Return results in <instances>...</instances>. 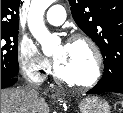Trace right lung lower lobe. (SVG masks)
<instances>
[{"label": "right lung lower lobe", "instance_id": "1", "mask_svg": "<svg viewBox=\"0 0 123 113\" xmlns=\"http://www.w3.org/2000/svg\"><path fill=\"white\" fill-rule=\"evenodd\" d=\"M16 82H17L16 77H13V78L1 77V89L10 87L14 85Z\"/></svg>", "mask_w": 123, "mask_h": 113}]
</instances>
